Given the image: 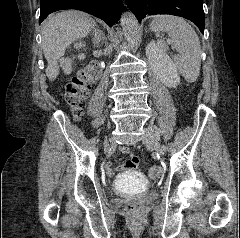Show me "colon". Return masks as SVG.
Returning <instances> with one entry per match:
<instances>
[{
	"instance_id": "obj_1",
	"label": "colon",
	"mask_w": 240,
	"mask_h": 238,
	"mask_svg": "<svg viewBox=\"0 0 240 238\" xmlns=\"http://www.w3.org/2000/svg\"><path fill=\"white\" fill-rule=\"evenodd\" d=\"M100 69L96 64H90L80 70L66 86V101L75 117L83 113L86 99L89 94L91 83L99 76ZM162 174L160 166H152L149 169V176L153 179L159 178ZM126 209L135 211L137 204H127Z\"/></svg>"
}]
</instances>
